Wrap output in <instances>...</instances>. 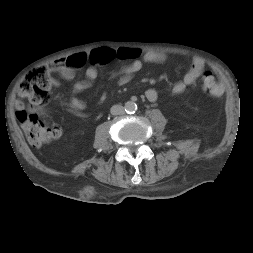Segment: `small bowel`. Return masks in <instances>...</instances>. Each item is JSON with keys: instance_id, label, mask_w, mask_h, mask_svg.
<instances>
[{"instance_id": "small-bowel-1", "label": "small bowel", "mask_w": 253, "mask_h": 253, "mask_svg": "<svg viewBox=\"0 0 253 253\" xmlns=\"http://www.w3.org/2000/svg\"><path fill=\"white\" fill-rule=\"evenodd\" d=\"M167 57L163 53L148 51L142 53L137 48H118L100 47L91 50L88 53L81 52L73 54L63 59V69L60 71L63 79L71 81L75 78L76 71L84 70L85 79L74 83L72 87V96L69 103L65 106L68 112L84 118L83 111L86 109V103L79 95L92 87L98 76V67L106 65L114 60L128 61L120 70L110 76V80L117 85H125L130 82L134 76L141 70L143 62L162 63ZM206 72L205 62L202 58H193L188 70L181 80L175 82L171 87L172 94H181L185 89L194 84L198 79L204 76ZM145 97L150 102H155L158 98V92L155 89H148ZM43 112V110H40Z\"/></svg>"}]
</instances>
